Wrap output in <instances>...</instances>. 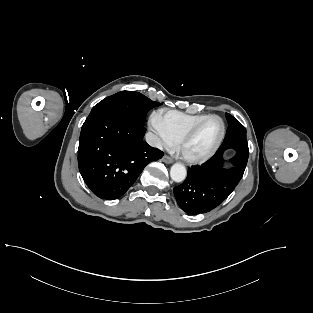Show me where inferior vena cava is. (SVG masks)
Segmentation results:
<instances>
[{
    "mask_svg": "<svg viewBox=\"0 0 313 313\" xmlns=\"http://www.w3.org/2000/svg\"><path fill=\"white\" fill-rule=\"evenodd\" d=\"M145 138H146V142H147L150 146L156 147V148H159V149H162L161 141H160L159 138H158L156 135H154L153 133H151V132L146 133Z\"/></svg>",
    "mask_w": 313,
    "mask_h": 313,
    "instance_id": "inferior-vena-cava-1",
    "label": "inferior vena cava"
}]
</instances>
